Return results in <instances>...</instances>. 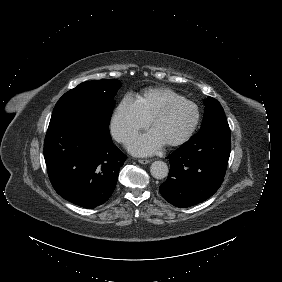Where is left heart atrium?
<instances>
[{
    "label": "left heart atrium",
    "instance_id": "obj_1",
    "mask_svg": "<svg viewBox=\"0 0 282 282\" xmlns=\"http://www.w3.org/2000/svg\"><path fill=\"white\" fill-rule=\"evenodd\" d=\"M164 143L159 133L153 129L148 133L134 138L129 146L130 149L138 154H149L160 148Z\"/></svg>",
    "mask_w": 282,
    "mask_h": 282
}]
</instances>
